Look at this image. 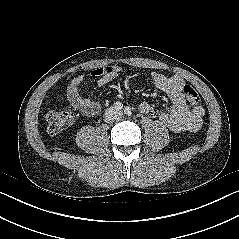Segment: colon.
Segmentation results:
<instances>
[{
  "mask_svg": "<svg viewBox=\"0 0 239 239\" xmlns=\"http://www.w3.org/2000/svg\"><path fill=\"white\" fill-rule=\"evenodd\" d=\"M183 95L191 105H197L200 101L198 92L194 87L185 84ZM48 132L51 135H57L65 130L73 121V114L67 110H53L47 116Z\"/></svg>",
  "mask_w": 239,
  "mask_h": 239,
  "instance_id": "5ec220e1",
  "label": "colon"
}]
</instances>
